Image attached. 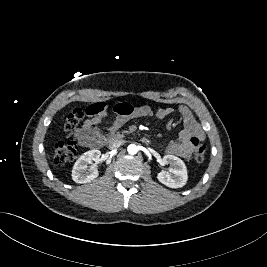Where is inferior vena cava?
<instances>
[{"instance_id":"obj_1","label":"inferior vena cava","mask_w":267,"mask_h":267,"mask_svg":"<svg viewBox=\"0 0 267 267\" xmlns=\"http://www.w3.org/2000/svg\"><path fill=\"white\" fill-rule=\"evenodd\" d=\"M125 143V141L123 139H113L110 141L109 143V148L110 149H116L119 148L120 146H122Z\"/></svg>"}]
</instances>
